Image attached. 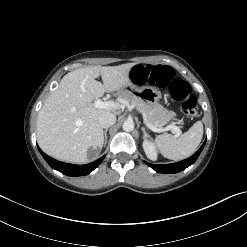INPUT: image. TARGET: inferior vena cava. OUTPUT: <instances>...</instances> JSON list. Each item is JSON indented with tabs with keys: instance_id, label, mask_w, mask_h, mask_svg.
I'll return each instance as SVG.
<instances>
[{
	"instance_id": "obj_1",
	"label": "inferior vena cava",
	"mask_w": 247,
	"mask_h": 247,
	"mask_svg": "<svg viewBox=\"0 0 247 247\" xmlns=\"http://www.w3.org/2000/svg\"><path fill=\"white\" fill-rule=\"evenodd\" d=\"M98 122L102 128H108L116 123V116L113 113L105 112L99 116Z\"/></svg>"
}]
</instances>
